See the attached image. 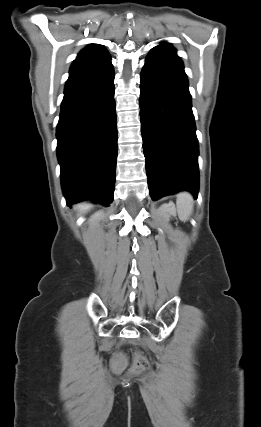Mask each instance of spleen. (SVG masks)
Segmentation results:
<instances>
[{
    "label": "spleen",
    "mask_w": 261,
    "mask_h": 427,
    "mask_svg": "<svg viewBox=\"0 0 261 427\" xmlns=\"http://www.w3.org/2000/svg\"><path fill=\"white\" fill-rule=\"evenodd\" d=\"M177 212L180 220L187 221L193 212V197L188 192H180L176 200Z\"/></svg>",
    "instance_id": "spleen-1"
}]
</instances>
